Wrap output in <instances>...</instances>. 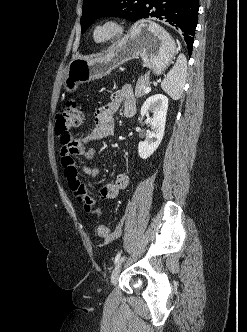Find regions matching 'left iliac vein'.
<instances>
[{
	"label": "left iliac vein",
	"instance_id": "obj_1",
	"mask_svg": "<svg viewBox=\"0 0 247 332\" xmlns=\"http://www.w3.org/2000/svg\"><path fill=\"white\" fill-rule=\"evenodd\" d=\"M125 261V256L121 257L119 261L117 262L116 266L114 267L112 274H111V283L115 285L118 280V276L121 270V266L123 262Z\"/></svg>",
	"mask_w": 247,
	"mask_h": 332
}]
</instances>
